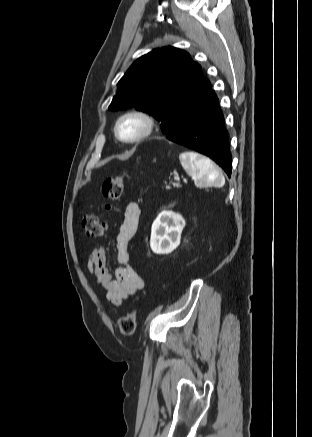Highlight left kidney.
<instances>
[{
  "label": "left kidney",
  "instance_id": "obj_1",
  "mask_svg": "<svg viewBox=\"0 0 312 437\" xmlns=\"http://www.w3.org/2000/svg\"><path fill=\"white\" fill-rule=\"evenodd\" d=\"M185 226L183 217L175 212L162 211L152 224L150 247L156 254H169L180 244Z\"/></svg>",
  "mask_w": 312,
  "mask_h": 437
}]
</instances>
